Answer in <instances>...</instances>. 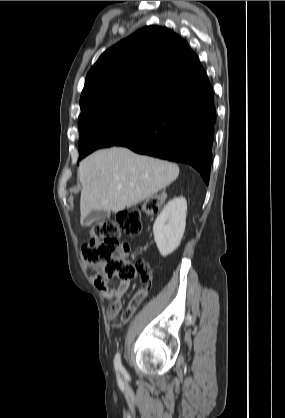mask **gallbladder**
I'll list each match as a JSON object with an SVG mask.
<instances>
[{"mask_svg":"<svg viewBox=\"0 0 285 418\" xmlns=\"http://www.w3.org/2000/svg\"><path fill=\"white\" fill-rule=\"evenodd\" d=\"M109 217H110V211H104V210L91 211L81 220V224L83 226H89L93 222L102 221V220L108 219Z\"/></svg>","mask_w":285,"mask_h":418,"instance_id":"bac80fb5","label":"gallbladder"}]
</instances>
